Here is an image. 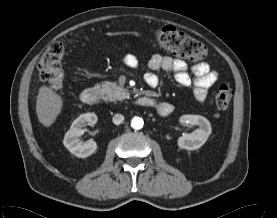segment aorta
Wrapping results in <instances>:
<instances>
[{
  "instance_id": "762f6f07",
  "label": "aorta",
  "mask_w": 277,
  "mask_h": 218,
  "mask_svg": "<svg viewBox=\"0 0 277 218\" xmlns=\"http://www.w3.org/2000/svg\"><path fill=\"white\" fill-rule=\"evenodd\" d=\"M144 125V121L140 117H134L131 121V127L134 129H141Z\"/></svg>"
}]
</instances>
